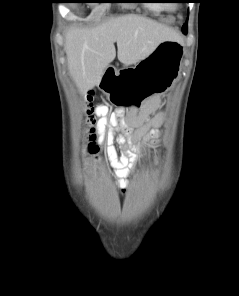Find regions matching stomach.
<instances>
[{
    "instance_id": "1",
    "label": "stomach",
    "mask_w": 239,
    "mask_h": 296,
    "mask_svg": "<svg viewBox=\"0 0 239 296\" xmlns=\"http://www.w3.org/2000/svg\"><path fill=\"white\" fill-rule=\"evenodd\" d=\"M183 56V44L178 40H165L134 69H119L115 84H152L157 85H100V90L109 94V101L124 111H139L146 98L153 94H164L172 90L171 82L177 76Z\"/></svg>"
}]
</instances>
